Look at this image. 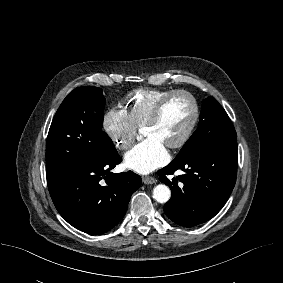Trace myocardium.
Segmentation results:
<instances>
[{
	"label": "myocardium",
	"instance_id": "1",
	"mask_svg": "<svg viewBox=\"0 0 283 283\" xmlns=\"http://www.w3.org/2000/svg\"><path fill=\"white\" fill-rule=\"evenodd\" d=\"M176 96H184L191 101L193 105V116L190 124L188 125L187 129L185 130L184 134L180 137V139H178L176 142L167 145V147L171 149H177L183 147L190 140L198 125L200 119V105L197 98L191 92L187 90L179 89V90H173L170 93L166 94L154 106L151 114L149 115V117L147 118V120L143 125V128H145L147 126H152L156 124L159 121L161 114L167 103Z\"/></svg>",
	"mask_w": 283,
	"mask_h": 283
}]
</instances>
